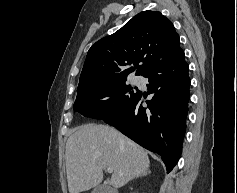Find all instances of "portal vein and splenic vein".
<instances>
[{"label":"portal vein and splenic vein","instance_id":"1","mask_svg":"<svg viewBox=\"0 0 237 193\" xmlns=\"http://www.w3.org/2000/svg\"><path fill=\"white\" fill-rule=\"evenodd\" d=\"M107 171H108L109 173H112V172H113V168L108 167V168H107Z\"/></svg>","mask_w":237,"mask_h":193}]
</instances>
